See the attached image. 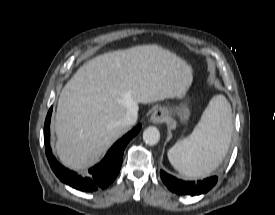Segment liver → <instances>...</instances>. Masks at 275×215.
I'll return each instance as SVG.
<instances>
[{"label": "liver", "instance_id": "6515ba94", "mask_svg": "<svg viewBox=\"0 0 275 215\" xmlns=\"http://www.w3.org/2000/svg\"><path fill=\"white\" fill-rule=\"evenodd\" d=\"M192 68L158 45L99 55L81 66L62 89L55 117L56 152L65 166L82 171L124 133L120 120L139 103L182 98Z\"/></svg>", "mask_w": 275, "mask_h": 215}]
</instances>
